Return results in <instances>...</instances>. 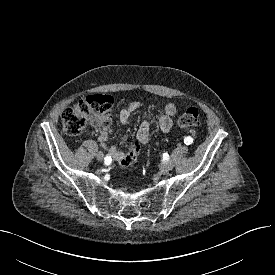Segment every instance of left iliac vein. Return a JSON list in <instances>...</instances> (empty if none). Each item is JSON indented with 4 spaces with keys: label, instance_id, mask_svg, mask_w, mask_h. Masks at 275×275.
Listing matches in <instances>:
<instances>
[{
    "label": "left iliac vein",
    "instance_id": "obj_1",
    "mask_svg": "<svg viewBox=\"0 0 275 275\" xmlns=\"http://www.w3.org/2000/svg\"><path fill=\"white\" fill-rule=\"evenodd\" d=\"M174 164L172 161H167L162 163L161 165V172H163L164 174L167 173L168 171H170L173 168Z\"/></svg>",
    "mask_w": 275,
    "mask_h": 275
}]
</instances>
